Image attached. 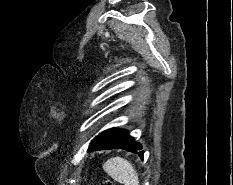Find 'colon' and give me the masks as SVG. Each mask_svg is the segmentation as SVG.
<instances>
[{
    "label": "colon",
    "mask_w": 233,
    "mask_h": 185,
    "mask_svg": "<svg viewBox=\"0 0 233 185\" xmlns=\"http://www.w3.org/2000/svg\"><path fill=\"white\" fill-rule=\"evenodd\" d=\"M101 185H114L110 180L105 179Z\"/></svg>",
    "instance_id": "5ec220e1"
}]
</instances>
